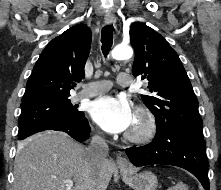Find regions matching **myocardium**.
<instances>
[{"label":"myocardium","instance_id":"myocardium-1","mask_svg":"<svg viewBox=\"0 0 221 190\" xmlns=\"http://www.w3.org/2000/svg\"><path fill=\"white\" fill-rule=\"evenodd\" d=\"M157 122L154 114L146 107L139 106L135 111V126L125 135L134 144L149 142L156 134Z\"/></svg>","mask_w":221,"mask_h":190}]
</instances>
